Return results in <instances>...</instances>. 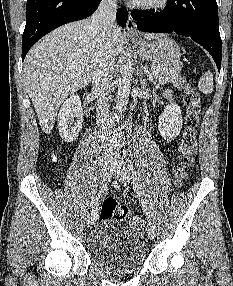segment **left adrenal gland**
Here are the masks:
<instances>
[{
	"mask_svg": "<svg viewBox=\"0 0 233 286\" xmlns=\"http://www.w3.org/2000/svg\"><path fill=\"white\" fill-rule=\"evenodd\" d=\"M143 75H144V72L141 71L140 73V83L143 85V86H146V81L143 79Z\"/></svg>",
	"mask_w": 233,
	"mask_h": 286,
	"instance_id": "1",
	"label": "left adrenal gland"
}]
</instances>
